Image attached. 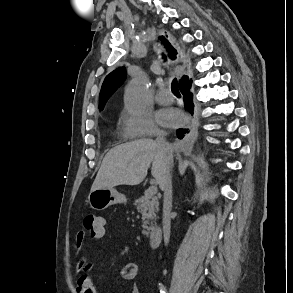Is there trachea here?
<instances>
[{
    "label": "trachea",
    "mask_w": 293,
    "mask_h": 293,
    "mask_svg": "<svg viewBox=\"0 0 293 293\" xmlns=\"http://www.w3.org/2000/svg\"><path fill=\"white\" fill-rule=\"evenodd\" d=\"M171 90H172V92L174 93V94H176V95H179L180 93H179V90H178V81H177V79H174L173 81H172V84H171Z\"/></svg>",
    "instance_id": "obj_1"
}]
</instances>
